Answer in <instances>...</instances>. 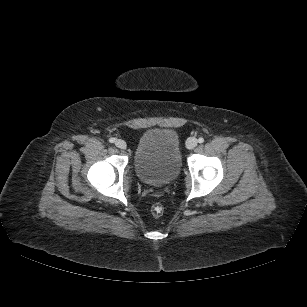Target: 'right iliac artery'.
<instances>
[{
	"instance_id": "82829eb1",
	"label": "right iliac artery",
	"mask_w": 307,
	"mask_h": 307,
	"mask_svg": "<svg viewBox=\"0 0 307 307\" xmlns=\"http://www.w3.org/2000/svg\"><path fill=\"white\" fill-rule=\"evenodd\" d=\"M109 142H110V143H114V142H115V138H110V139H109Z\"/></svg>"
}]
</instances>
